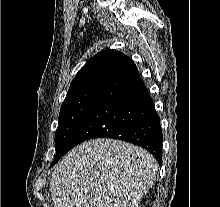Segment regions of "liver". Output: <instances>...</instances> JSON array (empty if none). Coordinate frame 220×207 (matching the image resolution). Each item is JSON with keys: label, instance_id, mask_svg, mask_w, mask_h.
<instances>
[{"label": "liver", "instance_id": "liver-1", "mask_svg": "<svg viewBox=\"0 0 220 207\" xmlns=\"http://www.w3.org/2000/svg\"><path fill=\"white\" fill-rule=\"evenodd\" d=\"M156 159L146 150L113 139H93L73 148L50 181L55 207H138L153 186Z\"/></svg>", "mask_w": 220, "mask_h": 207}]
</instances>
